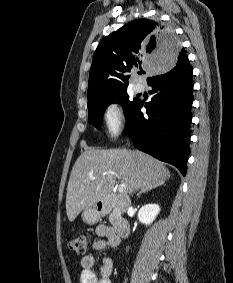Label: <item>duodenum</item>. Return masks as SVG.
<instances>
[{
  "instance_id": "duodenum-1",
  "label": "duodenum",
  "mask_w": 233,
  "mask_h": 283,
  "mask_svg": "<svg viewBox=\"0 0 233 283\" xmlns=\"http://www.w3.org/2000/svg\"><path fill=\"white\" fill-rule=\"evenodd\" d=\"M127 207V199L123 196H114L98 203V211L107 214L113 211H122ZM113 231L118 239L129 235L130 226L126 219L116 216L113 221Z\"/></svg>"
}]
</instances>
